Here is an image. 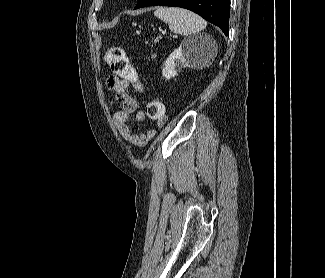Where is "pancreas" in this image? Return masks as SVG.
Listing matches in <instances>:
<instances>
[{"instance_id":"cf45deb5","label":"pancreas","mask_w":325,"mask_h":278,"mask_svg":"<svg viewBox=\"0 0 325 278\" xmlns=\"http://www.w3.org/2000/svg\"><path fill=\"white\" fill-rule=\"evenodd\" d=\"M151 57H152V59H153V58H155V57H156V54H152V56H151Z\"/></svg>"}]
</instances>
